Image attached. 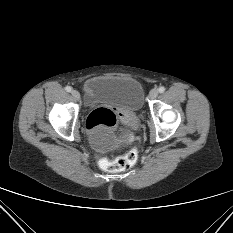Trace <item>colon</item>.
I'll list each match as a JSON object with an SVG mask.
<instances>
[{
    "mask_svg": "<svg viewBox=\"0 0 233 233\" xmlns=\"http://www.w3.org/2000/svg\"><path fill=\"white\" fill-rule=\"evenodd\" d=\"M117 117L116 114L108 108H98L93 110L87 118V128L97 129L106 128L112 129L116 126ZM137 160V152L130 150L123 156H120L114 160L103 159L101 166L110 172L124 171L132 167Z\"/></svg>",
    "mask_w": 233,
    "mask_h": 233,
    "instance_id": "5ec220e1",
    "label": "colon"
}]
</instances>
